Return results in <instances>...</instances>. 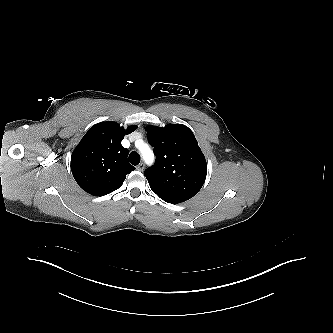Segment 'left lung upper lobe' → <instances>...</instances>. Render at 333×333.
Here are the masks:
<instances>
[{"mask_svg":"<svg viewBox=\"0 0 333 333\" xmlns=\"http://www.w3.org/2000/svg\"><path fill=\"white\" fill-rule=\"evenodd\" d=\"M155 164L144 175L162 200L178 204L195 196L203 186L207 165L193 132L182 124L147 126Z\"/></svg>","mask_w":333,"mask_h":333,"instance_id":"left-lung-upper-lobe-1","label":"left lung upper lobe"}]
</instances>
